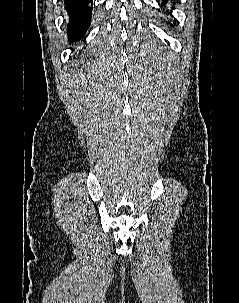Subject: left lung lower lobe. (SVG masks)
<instances>
[{
  "label": "left lung lower lobe",
  "instance_id": "0a47b994",
  "mask_svg": "<svg viewBox=\"0 0 239 303\" xmlns=\"http://www.w3.org/2000/svg\"><path fill=\"white\" fill-rule=\"evenodd\" d=\"M167 3V0H162V5H165Z\"/></svg>",
  "mask_w": 239,
  "mask_h": 303
}]
</instances>
